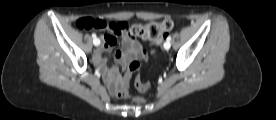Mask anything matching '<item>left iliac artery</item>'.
Segmentation results:
<instances>
[{
  "instance_id": "44dca946",
  "label": "left iliac artery",
  "mask_w": 276,
  "mask_h": 120,
  "mask_svg": "<svg viewBox=\"0 0 276 120\" xmlns=\"http://www.w3.org/2000/svg\"><path fill=\"white\" fill-rule=\"evenodd\" d=\"M170 40H171V36H168L167 37V42H170Z\"/></svg>"
}]
</instances>
